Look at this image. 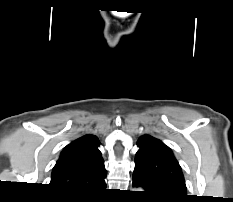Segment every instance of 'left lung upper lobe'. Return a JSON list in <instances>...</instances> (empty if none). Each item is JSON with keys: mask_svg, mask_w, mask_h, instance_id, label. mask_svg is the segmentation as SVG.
<instances>
[{"mask_svg": "<svg viewBox=\"0 0 233 202\" xmlns=\"http://www.w3.org/2000/svg\"><path fill=\"white\" fill-rule=\"evenodd\" d=\"M133 182L156 201L181 202L187 198L181 167L170 148L149 135L139 138Z\"/></svg>", "mask_w": 233, "mask_h": 202, "instance_id": "left-lung-upper-lobe-1", "label": "left lung upper lobe"}]
</instances>
